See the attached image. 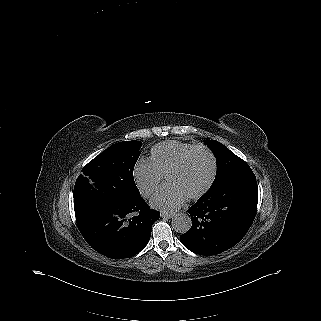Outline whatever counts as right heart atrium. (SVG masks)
<instances>
[{
  "label": "right heart atrium",
  "mask_w": 321,
  "mask_h": 321,
  "mask_svg": "<svg viewBox=\"0 0 321 321\" xmlns=\"http://www.w3.org/2000/svg\"><path fill=\"white\" fill-rule=\"evenodd\" d=\"M133 179L139 191L150 196L157 189L161 176L155 171L150 160L140 159L133 170Z\"/></svg>",
  "instance_id": "1"
}]
</instances>
